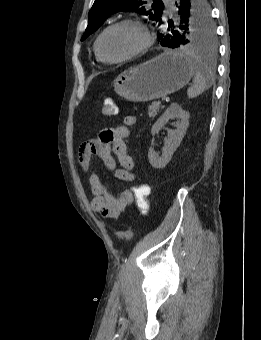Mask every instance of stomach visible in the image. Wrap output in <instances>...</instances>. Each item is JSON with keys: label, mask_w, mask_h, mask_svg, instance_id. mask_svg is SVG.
<instances>
[{"label": "stomach", "mask_w": 261, "mask_h": 340, "mask_svg": "<svg viewBox=\"0 0 261 340\" xmlns=\"http://www.w3.org/2000/svg\"><path fill=\"white\" fill-rule=\"evenodd\" d=\"M194 75L193 61L178 52L167 51L119 74L115 92L131 102H147L183 88Z\"/></svg>", "instance_id": "obj_1"}]
</instances>
